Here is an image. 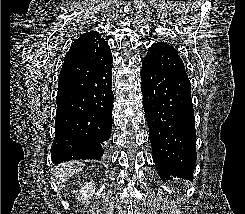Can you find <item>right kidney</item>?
<instances>
[{"instance_id":"ca27d5eb","label":"right kidney","mask_w":245,"mask_h":214,"mask_svg":"<svg viewBox=\"0 0 245 214\" xmlns=\"http://www.w3.org/2000/svg\"><path fill=\"white\" fill-rule=\"evenodd\" d=\"M95 191L94 183L87 182L81 187L80 193L78 194V200L81 203H85Z\"/></svg>"}]
</instances>
